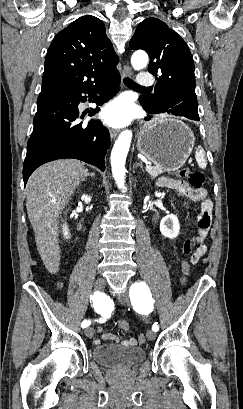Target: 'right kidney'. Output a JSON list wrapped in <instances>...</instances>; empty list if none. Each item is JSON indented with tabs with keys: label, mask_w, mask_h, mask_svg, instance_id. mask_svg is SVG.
I'll list each match as a JSON object with an SVG mask.
<instances>
[{
	"label": "right kidney",
	"mask_w": 243,
	"mask_h": 409,
	"mask_svg": "<svg viewBox=\"0 0 243 409\" xmlns=\"http://www.w3.org/2000/svg\"><path fill=\"white\" fill-rule=\"evenodd\" d=\"M81 199H82L85 203H90V201H91V197L88 196V195H83V196L81 197ZM63 234H64V237H65L66 239L69 238V230H68V227H67L66 224L63 225Z\"/></svg>",
	"instance_id": "1"
}]
</instances>
